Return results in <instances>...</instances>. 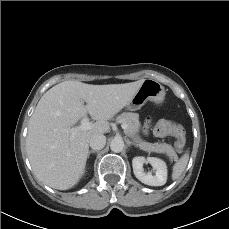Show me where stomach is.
I'll return each instance as SVG.
<instances>
[{
    "label": "stomach",
    "mask_w": 229,
    "mask_h": 229,
    "mask_svg": "<svg viewBox=\"0 0 229 229\" xmlns=\"http://www.w3.org/2000/svg\"><path fill=\"white\" fill-rule=\"evenodd\" d=\"M165 94V89L159 82L153 79H146L127 107L135 111L140 109L147 101L160 104L163 102Z\"/></svg>",
    "instance_id": "0dacf381"
}]
</instances>
